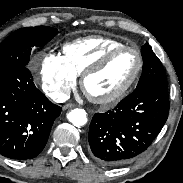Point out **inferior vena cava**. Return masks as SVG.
Here are the masks:
<instances>
[{"label": "inferior vena cava", "instance_id": "602c4592", "mask_svg": "<svg viewBox=\"0 0 183 183\" xmlns=\"http://www.w3.org/2000/svg\"><path fill=\"white\" fill-rule=\"evenodd\" d=\"M55 102L57 103H63L67 99H69V93H59V92H53L49 95Z\"/></svg>", "mask_w": 183, "mask_h": 183}]
</instances>
